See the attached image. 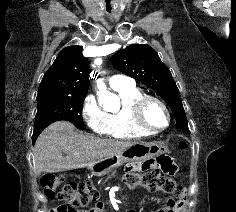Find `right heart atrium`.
<instances>
[{"label": "right heart atrium", "mask_w": 236, "mask_h": 212, "mask_svg": "<svg viewBox=\"0 0 236 212\" xmlns=\"http://www.w3.org/2000/svg\"><path fill=\"white\" fill-rule=\"evenodd\" d=\"M82 116L86 124L97 134H105L106 113L100 108L94 96L85 98L82 105Z\"/></svg>", "instance_id": "right-heart-atrium-1"}]
</instances>
